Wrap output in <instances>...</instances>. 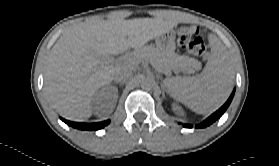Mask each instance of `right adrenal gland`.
<instances>
[{
    "label": "right adrenal gland",
    "instance_id": "right-adrenal-gland-1",
    "mask_svg": "<svg viewBox=\"0 0 279 166\" xmlns=\"http://www.w3.org/2000/svg\"><path fill=\"white\" fill-rule=\"evenodd\" d=\"M115 83H118V82H115ZM123 84H124V82H120V83H119L120 86H122Z\"/></svg>",
    "mask_w": 279,
    "mask_h": 166
}]
</instances>
